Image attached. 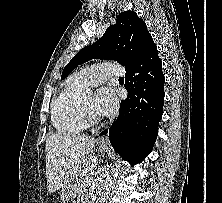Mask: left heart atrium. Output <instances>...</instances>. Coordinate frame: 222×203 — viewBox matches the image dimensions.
I'll use <instances>...</instances> for the list:
<instances>
[{"mask_svg": "<svg viewBox=\"0 0 222 203\" xmlns=\"http://www.w3.org/2000/svg\"><path fill=\"white\" fill-rule=\"evenodd\" d=\"M94 108L98 115L108 116L115 112L117 108V97L110 88H101L94 101Z\"/></svg>", "mask_w": 222, "mask_h": 203, "instance_id": "39dd6f15", "label": "left heart atrium"}]
</instances>
